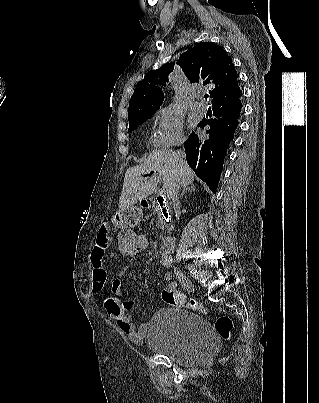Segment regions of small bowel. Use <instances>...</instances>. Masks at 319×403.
Wrapping results in <instances>:
<instances>
[{
    "instance_id": "obj_1",
    "label": "small bowel",
    "mask_w": 319,
    "mask_h": 403,
    "mask_svg": "<svg viewBox=\"0 0 319 403\" xmlns=\"http://www.w3.org/2000/svg\"><path fill=\"white\" fill-rule=\"evenodd\" d=\"M145 240L147 239L145 238ZM109 245H110L109 227L103 226L99 230L98 237L95 241V244L93 246L90 255L92 265V275L94 281L93 289L95 291L103 290L106 284L107 274L103 268L102 259ZM161 264L163 266H168L170 264V257L168 254L166 253L162 254ZM121 286H122L121 278H116L113 280L112 288L114 290H119ZM168 289H173L172 284L168 285ZM101 307L105 308L109 317L117 322V325L120 328V330L133 343L140 344L144 342L149 328L148 325L146 324L137 327L132 322L133 318L132 310L135 307L134 300L130 298L127 300L125 298H118L117 300H113L110 296L106 295L101 298Z\"/></svg>"
}]
</instances>
